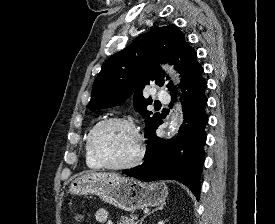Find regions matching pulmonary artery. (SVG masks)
Wrapping results in <instances>:
<instances>
[{"mask_svg":"<svg viewBox=\"0 0 275 224\" xmlns=\"http://www.w3.org/2000/svg\"><path fill=\"white\" fill-rule=\"evenodd\" d=\"M156 95H157V99L161 102H168L170 100L169 94L163 89H159L156 92Z\"/></svg>","mask_w":275,"mask_h":224,"instance_id":"obj_1","label":"pulmonary artery"}]
</instances>
